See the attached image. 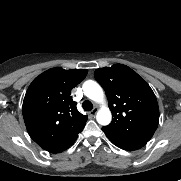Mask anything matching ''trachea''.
<instances>
[{"mask_svg": "<svg viewBox=\"0 0 181 181\" xmlns=\"http://www.w3.org/2000/svg\"><path fill=\"white\" fill-rule=\"evenodd\" d=\"M82 107L85 111H90L93 109V104L90 101L86 100L82 103Z\"/></svg>", "mask_w": 181, "mask_h": 181, "instance_id": "obj_1", "label": "trachea"}]
</instances>
